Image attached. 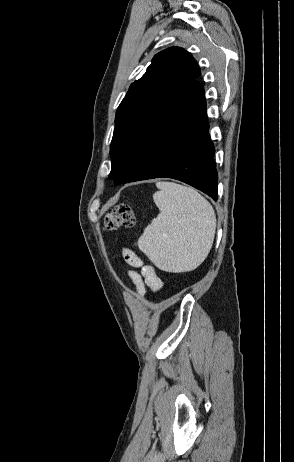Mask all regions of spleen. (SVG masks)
<instances>
[{"mask_svg":"<svg viewBox=\"0 0 294 462\" xmlns=\"http://www.w3.org/2000/svg\"><path fill=\"white\" fill-rule=\"evenodd\" d=\"M153 199L160 210L138 239L139 249L161 270L197 268L213 244L216 216L196 190L173 182H157Z\"/></svg>","mask_w":294,"mask_h":462,"instance_id":"spleen-1","label":"spleen"}]
</instances>
